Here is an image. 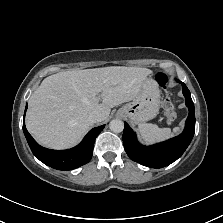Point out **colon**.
<instances>
[{"label":"colon","mask_w":223,"mask_h":223,"mask_svg":"<svg viewBox=\"0 0 223 223\" xmlns=\"http://www.w3.org/2000/svg\"><path fill=\"white\" fill-rule=\"evenodd\" d=\"M156 81L161 87H166L168 78L164 73H158L156 75ZM163 106L165 108L167 122L172 123L176 118V111L174 108L173 98L170 93H168L167 97L163 102Z\"/></svg>","instance_id":"1"}]
</instances>
